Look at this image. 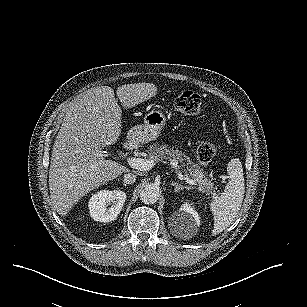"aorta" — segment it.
<instances>
[{
	"instance_id": "762f6f07",
	"label": "aorta",
	"mask_w": 307,
	"mask_h": 307,
	"mask_svg": "<svg viewBox=\"0 0 307 307\" xmlns=\"http://www.w3.org/2000/svg\"><path fill=\"white\" fill-rule=\"evenodd\" d=\"M159 191L154 186H145L140 192V199L145 204H154L158 201Z\"/></svg>"
}]
</instances>
